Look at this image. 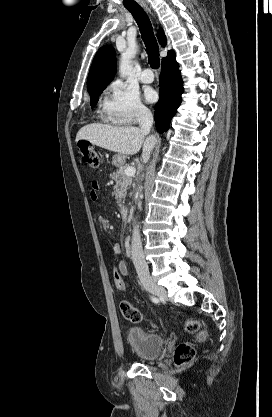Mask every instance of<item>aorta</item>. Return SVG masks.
Here are the masks:
<instances>
[{"mask_svg":"<svg viewBox=\"0 0 272 417\" xmlns=\"http://www.w3.org/2000/svg\"><path fill=\"white\" fill-rule=\"evenodd\" d=\"M137 53V45L131 43L126 51L121 55L119 64V73L122 78H126L132 71L131 58Z\"/></svg>","mask_w":272,"mask_h":417,"instance_id":"762f6f07","label":"aorta"}]
</instances>
